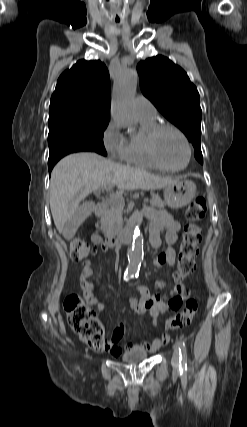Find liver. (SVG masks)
<instances>
[{
  "instance_id": "1",
  "label": "liver",
  "mask_w": 247,
  "mask_h": 427,
  "mask_svg": "<svg viewBox=\"0 0 247 427\" xmlns=\"http://www.w3.org/2000/svg\"><path fill=\"white\" fill-rule=\"evenodd\" d=\"M176 180L118 164L96 153L68 155L56 164L51 174L50 209L55 226L62 233L80 201L100 188L116 185L120 191L155 190Z\"/></svg>"
}]
</instances>
